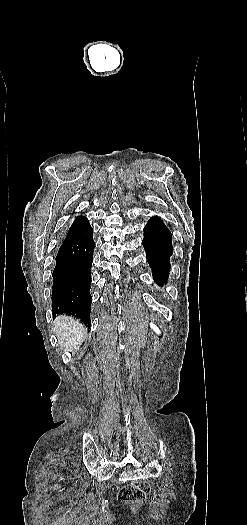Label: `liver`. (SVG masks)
<instances>
[{"mask_svg":"<svg viewBox=\"0 0 247 525\" xmlns=\"http://www.w3.org/2000/svg\"><path fill=\"white\" fill-rule=\"evenodd\" d=\"M52 325L54 337L60 349H63V359L66 361L70 351L73 353L77 351L87 329L78 321H74L73 317H66V315H58Z\"/></svg>","mask_w":247,"mask_h":525,"instance_id":"liver-1","label":"liver"}]
</instances>
